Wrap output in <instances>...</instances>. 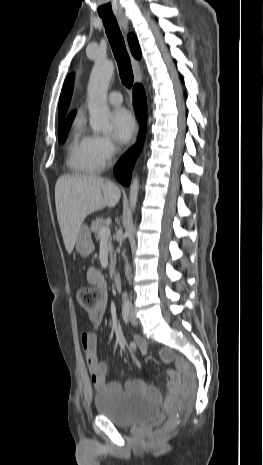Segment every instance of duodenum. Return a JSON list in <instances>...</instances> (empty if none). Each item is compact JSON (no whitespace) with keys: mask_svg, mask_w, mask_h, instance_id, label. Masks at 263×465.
Masks as SVG:
<instances>
[{"mask_svg":"<svg viewBox=\"0 0 263 465\" xmlns=\"http://www.w3.org/2000/svg\"><path fill=\"white\" fill-rule=\"evenodd\" d=\"M113 283L117 291H121V277L118 273L113 274Z\"/></svg>","mask_w":263,"mask_h":465,"instance_id":"obj_1","label":"duodenum"}]
</instances>
